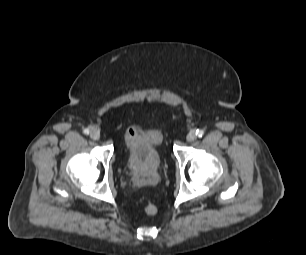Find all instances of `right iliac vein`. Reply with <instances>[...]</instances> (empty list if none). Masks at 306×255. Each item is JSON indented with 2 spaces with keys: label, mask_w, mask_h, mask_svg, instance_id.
<instances>
[{
  "label": "right iliac vein",
  "mask_w": 306,
  "mask_h": 255,
  "mask_svg": "<svg viewBox=\"0 0 306 255\" xmlns=\"http://www.w3.org/2000/svg\"><path fill=\"white\" fill-rule=\"evenodd\" d=\"M90 137L93 139V140H99V138H100V133H99V131H97V130H92L91 132H90Z\"/></svg>",
  "instance_id": "obj_1"
}]
</instances>
